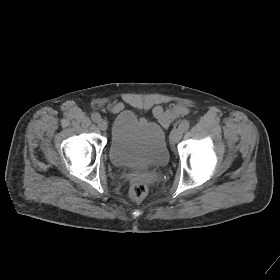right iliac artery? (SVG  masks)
<instances>
[{"instance_id":"right-iliac-artery-1","label":"right iliac artery","mask_w":280,"mask_h":280,"mask_svg":"<svg viewBox=\"0 0 280 280\" xmlns=\"http://www.w3.org/2000/svg\"><path fill=\"white\" fill-rule=\"evenodd\" d=\"M91 119L94 121V122H98L101 120V115L99 113H92L91 115Z\"/></svg>"}]
</instances>
